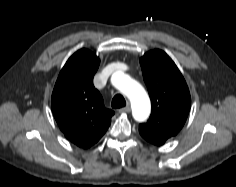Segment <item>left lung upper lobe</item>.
<instances>
[{
  "mask_svg": "<svg viewBox=\"0 0 236 187\" xmlns=\"http://www.w3.org/2000/svg\"><path fill=\"white\" fill-rule=\"evenodd\" d=\"M143 78L152 103L146 123L139 125L141 136L161 146L183 127L191 106L187 84L172 59L161 50L140 58Z\"/></svg>",
  "mask_w": 236,
  "mask_h": 187,
  "instance_id": "obj_1",
  "label": "left lung upper lobe"
}]
</instances>
